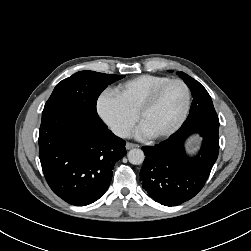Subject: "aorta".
Masks as SVG:
<instances>
[{
	"mask_svg": "<svg viewBox=\"0 0 251 251\" xmlns=\"http://www.w3.org/2000/svg\"><path fill=\"white\" fill-rule=\"evenodd\" d=\"M144 159L145 155L141 149L134 148L128 152V160L131 164L139 165L144 161Z\"/></svg>",
	"mask_w": 251,
	"mask_h": 251,
	"instance_id": "obj_1",
	"label": "aorta"
}]
</instances>
